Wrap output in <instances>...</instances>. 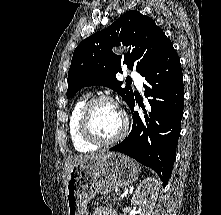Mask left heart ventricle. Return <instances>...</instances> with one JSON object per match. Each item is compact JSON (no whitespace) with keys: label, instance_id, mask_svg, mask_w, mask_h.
<instances>
[{"label":"left heart ventricle","instance_id":"left-heart-ventricle-1","mask_svg":"<svg viewBox=\"0 0 221 215\" xmlns=\"http://www.w3.org/2000/svg\"><path fill=\"white\" fill-rule=\"evenodd\" d=\"M122 123V115L114 104L104 102L94 109L92 126L99 136L103 138L115 136L120 131Z\"/></svg>","mask_w":221,"mask_h":215}]
</instances>
